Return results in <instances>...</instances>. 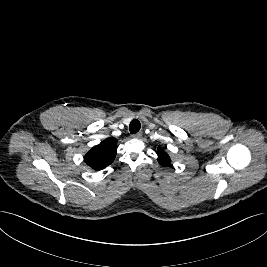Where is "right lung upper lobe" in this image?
<instances>
[{"instance_id":"right-lung-upper-lobe-1","label":"right lung upper lobe","mask_w":267,"mask_h":267,"mask_svg":"<svg viewBox=\"0 0 267 267\" xmlns=\"http://www.w3.org/2000/svg\"><path fill=\"white\" fill-rule=\"evenodd\" d=\"M116 152L117 141L113 138H108L88 151L84 156V161L94 170H100L114 161Z\"/></svg>"}]
</instances>
